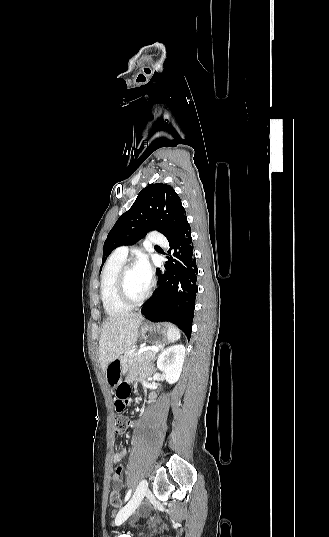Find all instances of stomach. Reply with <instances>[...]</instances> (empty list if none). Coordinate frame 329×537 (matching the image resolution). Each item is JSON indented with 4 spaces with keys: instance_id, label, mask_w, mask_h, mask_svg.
<instances>
[{
    "instance_id": "stomach-1",
    "label": "stomach",
    "mask_w": 329,
    "mask_h": 537,
    "mask_svg": "<svg viewBox=\"0 0 329 537\" xmlns=\"http://www.w3.org/2000/svg\"><path fill=\"white\" fill-rule=\"evenodd\" d=\"M168 330L166 323L146 325L141 329V337L152 344L161 345L168 339ZM105 373L110 386H115L121 381L122 366L118 358L107 366Z\"/></svg>"
}]
</instances>
